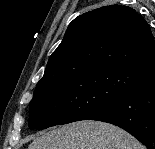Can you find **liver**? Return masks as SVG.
<instances>
[{"mask_svg":"<svg viewBox=\"0 0 155 149\" xmlns=\"http://www.w3.org/2000/svg\"><path fill=\"white\" fill-rule=\"evenodd\" d=\"M28 149H145L123 129L100 121H77L37 137Z\"/></svg>","mask_w":155,"mask_h":149,"instance_id":"liver-1","label":"liver"}]
</instances>
